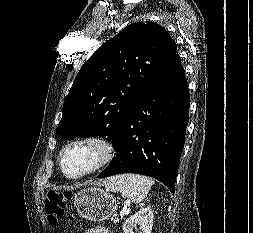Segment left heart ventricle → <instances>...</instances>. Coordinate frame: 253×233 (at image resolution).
Wrapping results in <instances>:
<instances>
[{"label": "left heart ventricle", "instance_id": "left-heart-ventricle-1", "mask_svg": "<svg viewBox=\"0 0 253 233\" xmlns=\"http://www.w3.org/2000/svg\"><path fill=\"white\" fill-rule=\"evenodd\" d=\"M96 157L93 148L83 146L70 150L64 158L65 170L70 174H76L89 168Z\"/></svg>", "mask_w": 253, "mask_h": 233}]
</instances>
